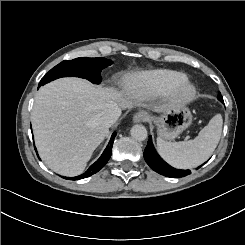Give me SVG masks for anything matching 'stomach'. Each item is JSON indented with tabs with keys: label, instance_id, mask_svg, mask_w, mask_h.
<instances>
[{
	"label": "stomach",
	"instance_id": "stomach-1",
	"mask_svg": "<svg viewBox=\"0 0 245 245\" xmlns=\"http://www.w3.org/2000/svg\"><path fill=\"white\" fill-rule=\"evenodd\" d=\"M151 122L157 126L159 137L164 140H173L192 123V114L186 107H171L161 116H151Z\"/></svg>",
	"mask_w": 245,
	"mask_h": 245
}]
</instances>
